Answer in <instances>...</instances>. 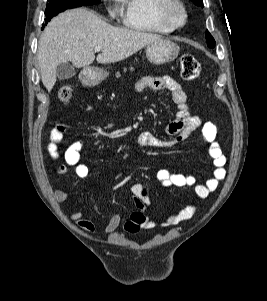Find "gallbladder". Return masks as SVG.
Instances as JSON below:
<instances>
[{
  "label": "gallbladder",
  "mask_w": 267,
  "mask_h": 301,
  "mask_svg": "<svg viewBox=\"0 0 267 301\" xmlns=\"http://www.w3.org/2000/svg\"><path fill=\"white\" fill-rule=\"evenodd\" d=\"M75 73V68L70 62L59 64L56 70V75L59 80L70 79L75 75Z\"/></svg>",
  "instance_id": "bac80fb5"
}]
</instances>
